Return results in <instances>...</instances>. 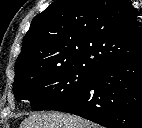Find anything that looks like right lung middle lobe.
<instances>
[{"label": "right lung middle lobe", "instance_id": "obj_1", "mask_svg": "<svg viewBox=\"0 0 142 128\" xmlns=\"http://www.w3.org/2000/svg\"><path fill=\"white\" fill-rule=\"evenodd\" d=\"M93 75L80 65L39 69L16 78L13 93L16 100H29L34 111L56 110L84 91Z\"/></svg>", "mask_w": 142, "mask_h": 128}]
</instances>
